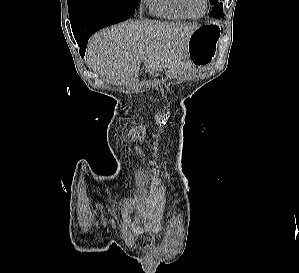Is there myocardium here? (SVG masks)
<instances>
[{"label": "myocardium", "mask_w": 299, "mask_h": 273, "mask_svg": "<svg viewBox=\"0 0 299 273\" xmlns=\"http://www.w3.org/2000/svg\"><path fill=\"white\" fill-rule=\"evenodd\" d=\"M179 2H180V6H181L182 10L188 15L189 18H192V19L202 18L207 13L208 8H209V0H204V4H205L204 11L202 12V14H200L198 16H194L189 12L187 5H186V0H179Z\"/></svg>", "instance_id": "f54148a6"}]
</instances>
